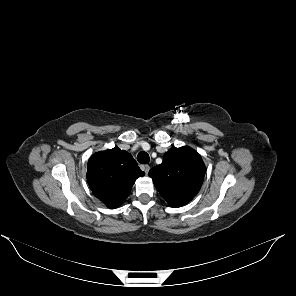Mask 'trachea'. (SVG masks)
Listing matches in <instances>:
<instances>
[{"instance_id":"obj_1","label":"trachea","mask_w":296,"mask_h":296,"mask_svg":"<svg viewBox=\"0 0 296 296\" xmlns=\"http://www.w3.org/2000/svg\"><path fill=\"white\" fill-rule=\"evenodd\" d=\"M137 160L141 164H148L150 161V157L146 152L142 151L137 155Z\"/></svg>"}]
</instances>
